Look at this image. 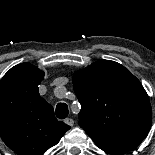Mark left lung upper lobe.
I'll return each instance as SVG.
<instances>
[{
  "instance_id": "left-lung-upper-lobe-1",
  "label": "left lung upper lobe",
  "mask_w": 155,
  "mask_h": 155,
  "mask_svg": "<svg viewBox=\"0 0 155 155\" xmlns=\"http://www.w3.org/2000/svg\"><path fill=\"white\" fill-rule=\"evenodd\" d=\"M79 124L97 145L142 140L152 123L149 97L121 64L98 60L73 76Z\"/></svg>"
}]
</instances>
